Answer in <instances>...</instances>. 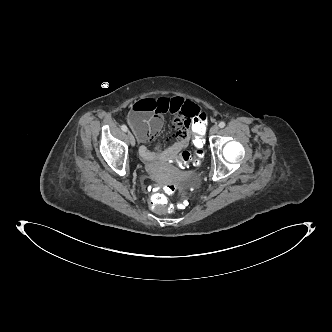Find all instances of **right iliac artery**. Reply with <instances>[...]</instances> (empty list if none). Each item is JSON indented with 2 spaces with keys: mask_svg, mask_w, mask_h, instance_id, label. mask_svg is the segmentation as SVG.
Returning a JSON list of instances; mask_svg holds the SVG:
<instances>
[{
  "mask_svg": "<svg viewBox=\"0 0 332 332\" xmlns=\"http://www.w3.org/2000/svg\"><path fill=\"white\" fill-rule=\"evenodd\" d=\"M121 129H122L124 132H127V131H128V128H127L126 125H122V126H121Z\"/></svg>",
  "mask_w": 332,
  "mask_h": 332,
  "instance_id": "1",
  "label": "right iliac artery"
}]
</instances>
